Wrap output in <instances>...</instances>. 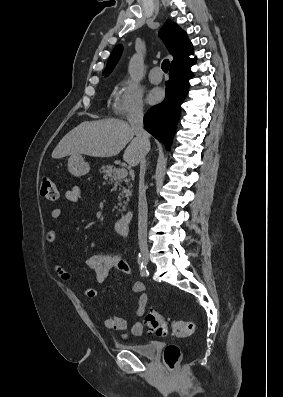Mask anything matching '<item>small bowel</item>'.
<instances>
[{"label": "small bowel", "instance_id": "c3829d8e", "mask_svg": "<svg viewBox=\"0 0 283 397\" xmlns=\"http://www.w3.org/2000/svg\"><path fill=\"white\" fill-rule=\"evenodd\" d=\"M65 198L74 204H78L82 198V191L78 186H75L65 192ZM63 215V210L61 208H54L50 212V217L52 219H59ZM57 239V232L55 230H49L45 235V241L47 243H54ZM49 261L52 264L54 271L58 277L63 281H71L74 279L73 274L65 269L59 262L52 252L49 253ZM85 265L90 270L94 271V284H101L107 277L110 270L115 269L124 274H131V267L127 261L123 260L116 253H101L94 254L88 257L85 261ZM132 292L138 294L136 320L131 328V335L139 336L143 332V323L140 318L144 315L148 296L145 293V286L142 282L136 281L132 284ZM86 296L93 298L97 296L98 290L96 286H92L85 289ZM103 325L107 329L112 330H125L128 327L127 319L119 316L106 317L103 320ZM123 337L127 338L128 335L124 334Z\"/></svg>", "mask_w": 283, "mask_h": 397}]
</instances>
